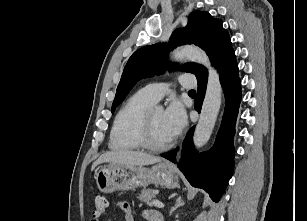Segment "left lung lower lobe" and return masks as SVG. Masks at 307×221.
<instances>
[{
    "instance_id": "1",
    "label": "left lung lower lobe",
    "mask_w": 307,
    "mask_h": 221,
    "mask_svg": "<svg viewBox=\"0 0 307 221\" xmlns=\"http://www.w3.org/2000/svg\"><path fill=\"white\" fill-rule=\"evenodd\" d=\"M220 81L225 93V110L214 146L205 153H197L192 143L194 127L187 134L177 167L194 187L202 188L218 202L231 178L234 165L233 136L238 108L241 101V81L233 52L218 67ZM207 78L198 80L195 109L200 112L205 96ZM178 149L161 154L175 163Z\"/></svg>"
}]
</instances>
